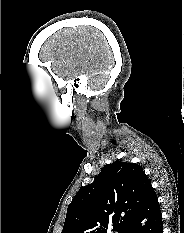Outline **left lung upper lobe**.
<instances>
[{"instance_id": "left-lung-upper-lobe-1", "label": "left lung upper lobe", "mask_w": 184, "mask_h": 233, "mask_svg": "<svg viewBox=\"0 0 184 233\" xmlns=\"http://www.w3.org/2000/svg\"><path fill=\"white\" fill-rule=\"evenodd\" d=\"M154 189L135 163L104 166L93 183L82 187L67 208L61 233H127ZM113 224V229L108 227Z\"/></svg>"}]
</instances>
